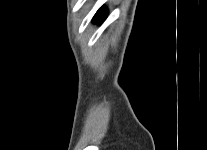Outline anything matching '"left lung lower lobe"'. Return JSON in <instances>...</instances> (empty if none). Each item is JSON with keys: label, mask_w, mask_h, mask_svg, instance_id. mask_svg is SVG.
I'll list each match as a JSON object with an SVG mask.
<instances>
[{"label": "left lung lower lobe", "mask_w": 207, "mask_h": 150, "mask_svg": "<svg viewBox=\"0 0 207 150\" xmlns=\"http://www.w3.org/2000/svg\"><path fill=\"white\" fill-rule=\"evenodd\" d=\"M105 14H106V8L105 7H101L98 11H97V13L95 14V16H94V21H96V22H101V21H103L104 19H105Z\"/></svg>", "instance_id": "0a47b994"}]
</instances>
